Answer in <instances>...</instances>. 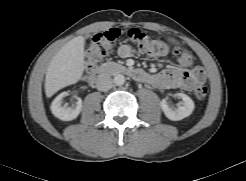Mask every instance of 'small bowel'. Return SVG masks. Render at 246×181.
<instances>
[{"mask_svg": "<svg viewBox=\"0 0 246 181\" xmlns=\"http://www.w3.org/2000/svg\"><path fill=\"white\" fill-rule=\"evenodd\" d=\"M133 52L130 45H121L118 48V55L121 58H130ZM175 56L177 66L167 68L156 74L146 73V78L143 81L161 90L181 88L187 91L205 82L204 72L194 65V59L188 51L181 48L180 53Z\"/></svg>", "mask_w": 246, "mask_h": 181, "instance_id": "small-bowel-1", "label": "small bowel"}]
</instances>
